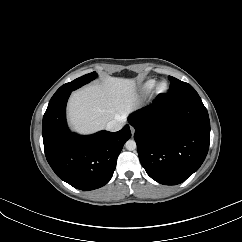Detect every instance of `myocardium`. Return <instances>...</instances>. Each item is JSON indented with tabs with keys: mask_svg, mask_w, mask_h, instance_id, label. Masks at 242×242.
<instances>
[{
	"mask_svg": "<svg viewBox=\"0 0 242 242\" xmlns=\"http://www.w3.org/2000/svg\"><path fill=\"white\" fill-rule=\"evenodd\" d=\"M168 89V85L166 81H159L156 85H155V92L158 94H163L167 91Z\"/></svg>",
	"mask_w": 242,
	"mask_h": 242,
	"instance_id": "obj_1",
	"label": "myocardium"
}]
</instances>
